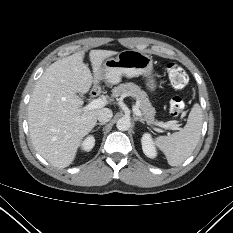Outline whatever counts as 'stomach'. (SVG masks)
I'll list each match as a JSON object with an SVG mask.
<instances>
[{
  "label": "stomach",
  "mask_w": 233,
  "mask_h": 233,
  "mask_svg": "<svg viewBox=\"0 0 233 233\" xmlns=\"http://www.w3.org/2000/svg\"><path fill=\"white\" fill-rule=\"evenodd\" d=\"M153 70L152 58L137 50L121 51L115 58H108L103 64V77L110 84H118L123 75L132 78L149 76ZM148 87L154 90L156 83L149 79Z\"/></svg>",
  "instance_id": "stomach-1"
}]
</instances>
